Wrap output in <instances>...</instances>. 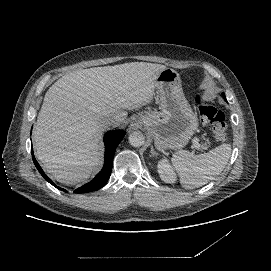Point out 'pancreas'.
Listing matches in <instances>:
<instances>
[{"mask_svg":"<svg viewBox=\"0 0 271 271\" xmlns=\"http://www.w3.org/2000/svg\"><path fill=\"white\" fill-rule=\"evenodd\" d=\"M202 149H207L208 148V145H203L201 146Z\"/></svg>","mask_w":271,"mask_h":271,"instance_id":"cf45deb5","label":"pancreas"}]
</instances>
